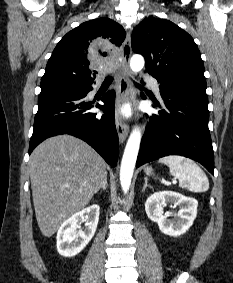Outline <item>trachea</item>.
Returning <instances> with one entry per match:
<instances>
[{"label": "trachea", "instance_id": "trachea-1", "mask_svg": "<svg viewBox=\"0 0 233 283\" xmlns=\"http://www.w3.org/2000/svg\"><path fill=\"white\" fill-rule=\"evenodd\" d=\"M112 81H113V77H112V76H106V77H105V80H104V83L110 84V83H112ZM135 85H136L137 87H139V88H142V86H140V85L137 84V83H135Z\"/></svg>", "mask_w": 233, "mask_h": 283}]
</instances>
